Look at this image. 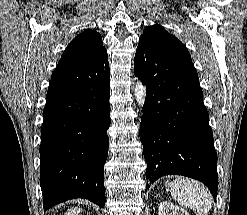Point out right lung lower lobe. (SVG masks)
<instances>
[{"label":"right lung lower lobe","mask_w":247,"mask_h":215,"mask_svg":"<svg viewBox=\"0 0 247 215\" xmlns=\"http://www.w3.org/2000/svg\"><path fill=\"white\" fill-rule=\"evenodd\" d=\"M109 83L107 51L86 62L59 61L53 72L41 127L45 211L74 198L105 205Z\"/></svg>","instance_id":"right-lung-lower-lobe-1"}]
</instances>
